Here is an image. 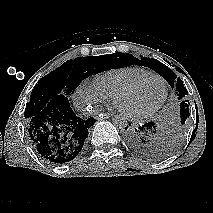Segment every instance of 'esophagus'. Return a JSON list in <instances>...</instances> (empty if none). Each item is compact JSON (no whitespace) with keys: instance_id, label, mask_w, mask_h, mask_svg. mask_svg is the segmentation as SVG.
Wrapping results in <instances>:
<instances>
[{"instance_id":"34e87169","label":"esophagus","mask_w":213,"mask_h":213,"mask_svg":"<svg viewBox=\"0 0 213 213\" xmlns=\"http://www.w3.org/2000/svg\"><path fill=\"white\" fill-rule=\"evenodd\" d=\"M115 116V113H103L104 118H112Z\"/></svg>"}]
</instances>
